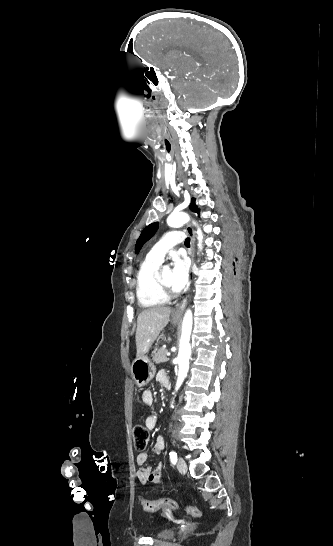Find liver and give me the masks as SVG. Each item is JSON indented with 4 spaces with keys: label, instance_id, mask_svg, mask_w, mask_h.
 I'll use <instances>...</instances> for the list:
<instances>
[{
    "label": "liver",
    "instance_id": "1",
    "mask_svg": "<svg viewBox=\"0 0 333 546\" xmlns=\"http://www.w3.org/2000/svg\"><path fill=\"white\" fill-rule=\"evenodd\" d=\"M171 309L169 307H154L145 309L137 318L136 348L137 357L144 356L150 349L159 333L169 322Z\"/></svg>",
    "mask_w": 333,
    "mask_h": 546
}]
</instances>
